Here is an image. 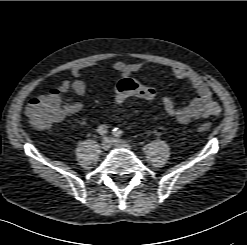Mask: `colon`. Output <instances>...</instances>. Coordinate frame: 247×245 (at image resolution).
I'll return each mask as SVG.
<instances>
[{"label":"colon","mask_w":247,"mask_h":245,"mask_svg":"<svg viewBox=\"0 0 247 245\" xmlns=\"http://www.w3.org/2000/svg\"><path fill=\"white\" fill-rule=\"evenodd\" d=\"M130 95L151 100L156 97L157 91L153 87L144 85L134 79L122 78L115 86L113 107L118 108ZM26 114L34 127L47 129L63 119V104L60 99L40 96L29 101ZM210 128V123H201L198 126L200 131H207Z\"/></svg>","instance_id":"5ec220e1"}]
</instances>
